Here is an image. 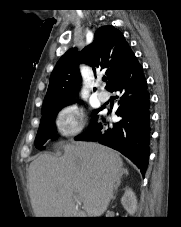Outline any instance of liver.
<instances>
[{
	"label": "liver",
	"instance_id": "1",
	"mask_svg": "<svg viewBox=\"0 0 181 227\" xmlns=\"http://www.w3.org/2000/svg\"><path fill=\"white\" fill-rule=\"evenodd\" d=\"M61 157L38 155L30 164L29 195L36 217H76L83 202L89 217H99L123 175L119 153L94 142H60Z\"/></svg>",
	"mask_w": 181,
	"mask_h": 227
}]
</instances>
